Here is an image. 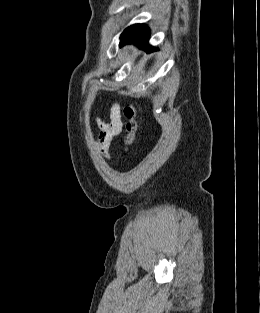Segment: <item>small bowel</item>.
<instances>
[{
    "mask_svg": "<svg viewBox=\"0 0 260 313\" xmlns=\"http://www.w3.org/2000/svg\"><path fill=\"white\" fill-rule=\"evenodd\" d=\"M99 126V134L96 140V146L100 154L105 157L109 156V148L112 139L119 135L122 131V120L120 113V106L117 103H113L110 109V121L103 122L97 120Z\"/></svg>",
    "mask_w": 260,
    "mask_h": 313,
    "instance_id": "small-bowel-1",
    "label": "small bowel"
}]
</instances>
